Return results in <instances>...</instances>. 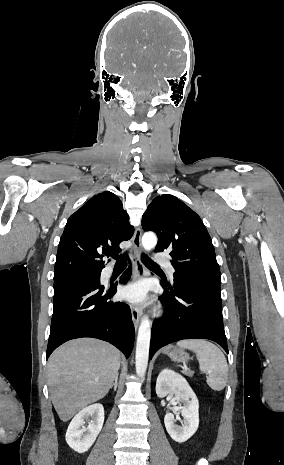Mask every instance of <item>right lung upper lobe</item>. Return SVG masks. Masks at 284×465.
Wrapping results in <instances>:
<instances>
[{
	"instance_id": "right-lung-upper-lobe-1",
	"label": "right lung upper lobe",
	"mask_w": 284,
	"mask_h": 465,
	"mask_svg": "<svg viewBox=\"0 0 284 465\" xmlns=\"http://www.w3.org/2000/svg\"><path fill=\"white\" fill-rule=\"evenodd\" d=\"M134 231L121 200L106 191L93 196L72 214L61 236L54 281L100 274L103 254L118 253Z\"/></svg>"
}]
</instances>
